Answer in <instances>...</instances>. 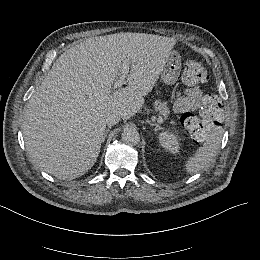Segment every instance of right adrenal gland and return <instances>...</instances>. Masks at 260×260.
I'll list each match as a JSON object with an SVG mask.
<instances>
[{
    "mask_svg": "<svg viewBox=\"0 0 260 260\" xmlns=\"http://www.w3.org/2000/svg\"><path fill=\"white\" fill-rule=\"evenodd\" d=\"M108 132H109V128H107V129L105 130V134H108Z\"/></svg>",
    "mask_w": 260,
    "mask_h": 260,
    "instance_id": "2a0ac1e0",
    "label": "right adrenal gland"
}]
</instances>
